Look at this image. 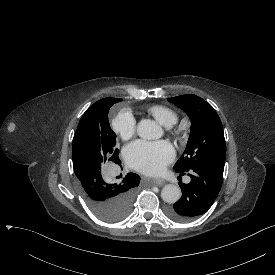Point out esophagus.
Masks as SVG:
<instances>
[{"label": "esophagus", "mask_w": 275, "mask_h": 275, "mask_svg": "<svg viewBox=\"0 0 275 275\" xmlns=\"http://www.w3.org/2000/svg\"><path fill=\"white\" fill-rule=\"evenodd\" d=\"M153 183L156 185V186H163L165 184V181L163 179H154L153 180Z\"/></svg>", "instance_id": "obj_1"}]
</instances>
